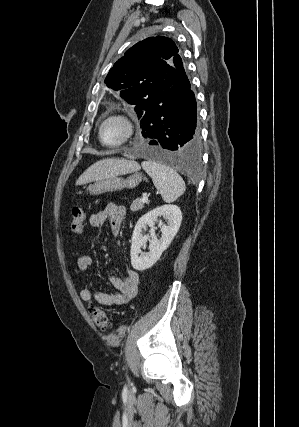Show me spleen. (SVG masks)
<instances>
[{
  "label": "spleen",
  "instance_id": "3e777b00",
  "mask_svg": "<svg viewBox=\"0 0 299 427\" xmlns=\"http://www.w3.org/2000/svg\"><path fill=\"white\" fill-rule=\"evenodd\" d=\"M142 168L152 178L154 186L165 202H173L185 192L184 180L171 167L147 160L142 162Z\"/></svg>",
  "mask_w": 299,
  "mask_h": 427
}]
</instances>
